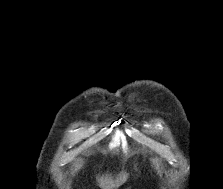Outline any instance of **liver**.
Instances as JSON below:
<instances>
[{
  "instance_id": "6515ba94",
  "label": "liver",
  "mask_w": 223,
  "mask_h": 189,
  "mask_svg": "<svg viewBox=\"0 0 223 189\" xmlns=\"http://www.w3.org/2000/svg\"><path fill=\"white\" fill-rule=\"evenodd\" d=\"M128 176L126 172L120 173L115 179L110 175H105L97 177V182L102 189H116L127 181Z\"/></svg>"
}]
</instances>
